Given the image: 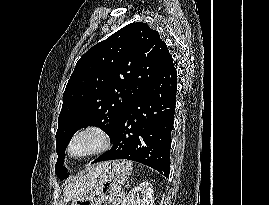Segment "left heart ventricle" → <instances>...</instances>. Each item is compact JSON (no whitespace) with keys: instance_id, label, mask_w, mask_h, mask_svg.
<instances>
[{"instance_id":"obj_1","label":"left heart ventricle","mask_w":269,"mask_h":205,"mask_svg":"<svg viewBox=\"0 0 269 205\" xmlns=\"http://www.w3.org/2000/svg\"><path fill=\"white\" fill-rule=\"evenodd\" d=\"M100 145L98 136L94 133H85L76 138L72 144V154L81 156L95 150Z\"/></svg>"}]
</instances>
